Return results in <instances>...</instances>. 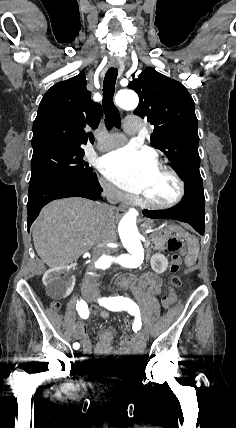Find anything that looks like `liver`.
Returning a JSON list of instances; mask_svg holds the SVG:
<instances>
[{"mask_svg": "<svg viewBox=\"0 0 236 428\" xmlns=\"http://www.w3.org/2000/svg\"><path fill=\"white\" fill-rule=\"evenodd\" d=\"M34 248L49 268L68 266L95 244H114V218L84 198L54 200L41 210L32 228Z\"/></svg>", "mask_w": 236, "mask_h": 428, "instance_id": "1", "label": "liver"}]
</instances>
